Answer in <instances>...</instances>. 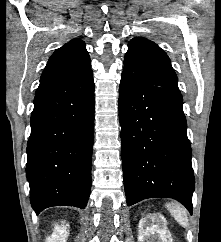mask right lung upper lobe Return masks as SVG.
Returning a JSON list of instances; mask_svg holds the SVG:
<instances>
[{"label": "right lung upper lobe", "mask_w": 221, "mask_h": 242, "mask_svg": "<svg viewBox=\"0 0 221 242\" xmlns=\"http://www.w3.org/2000/svg\"><path fill=\"white\" fill-rule=\"evenodd\" d=\"M91 71L85 43L73 39L49 58L36 93L70 84Z\"/></svg>", "instance_id": "1"}]
</instances>
